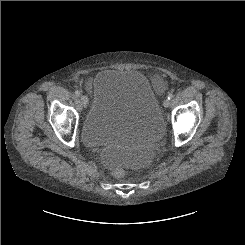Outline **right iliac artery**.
<instances>
[{
  "label": "right iliac artery",
  "instance_id": "right-iliac-artery-1",
  "mask_svg": "<svg viewBox=\"0 0 245 245\" xmlns=\"http://www.w3.org/2000/svg\"><path fill=\"white\" fill-rule=\"evenodd\" d=\"M75 94H76L77 96H80V95H81V92H80L79 90H76V91H75Z\"/></svg>",
  "mask_w": 245,
  "mask_h": 245
}]
</instances>
